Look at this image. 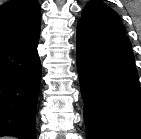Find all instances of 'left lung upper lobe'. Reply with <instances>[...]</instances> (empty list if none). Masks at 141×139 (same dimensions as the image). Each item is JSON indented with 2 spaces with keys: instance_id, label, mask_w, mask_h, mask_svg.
I'll return each mask as SVG.
<instances>
[{
  "instance_id": "obj_1",
  "label": "left lung upper lobe",
  "mask_w": 141,
  "mask_h": 139,
  "mask_svg": "<svg viewBox=\"0 0 141 139\" xmlns=\"http://www.w3.org/2000/svg\"><path fill=\"white\" fill-rule=\"evenodd\" d=\"M79 20L100 29L125 34L123 24L116 12L99 0L89 1Z\"/></svg>"
}]
</instances>
